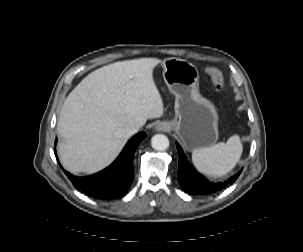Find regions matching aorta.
<instances>
[{
    "instance_id": "762f6f07",
    "label": "aorta",
    "mask_w": 303,
    "mask_h": 252,
    "mask_svg": "<svg viewBox=\"0 0 303 252\" xmlns=\"http://www.w3.org/2000/svg\"><path fill=\"white\" fill-rule=\"evenodd\" d=\"M151 146L157 151H164L169 147V139L164 134H156L151 139Z\"/></svg>"
}]
</instances>
